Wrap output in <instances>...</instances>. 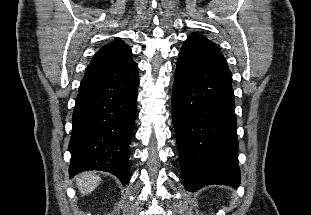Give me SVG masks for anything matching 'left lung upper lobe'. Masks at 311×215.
<instances>
[{
  "instance_id": "1",
  "label": "left lung upper lobe",
  "mask_w": 311,
  "mask_h": 215,
  "mask_svg": "<svg viewBox=\"0 0 311 215\" xmlns=\"http://www.w3.org/2000/svg\"><path fill=\"white\" fill-rule=\"evenodd\" d=\"M191 35H199V33L195 32V33H193V34H191Z\"/></svg>"
}]
</instances>
